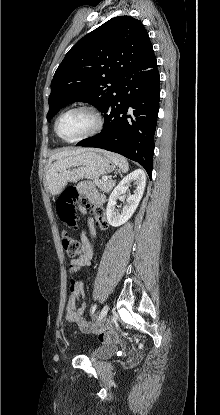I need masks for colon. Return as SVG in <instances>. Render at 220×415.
I'll return each mask as SVG.
<instances>
[{
	"mask_svg": "<svg viewBox=\"0 0 220 415\" xmlns=\"http://www.w3.org/2000/svg\"><path fill=\"white\" fill-rule=\"evenodd\" d=\"M78 197L79 193L77 189L69 187L62 192L56 204V210L61 222L70 229H75L77 226L74 202L78 199ZM93 210L95 216L97 217L102 218L105 215V210L102 206H94ZM62 245L67 257L71 261L79 259L81 255L80 244L65 231L62 235ZM76 287L77 282L72 278L70 281L69 294L73 293L76 290ZM113 337V334L109 332H104L99 335V339L101 340L112 339Z\"/></svg>",
	"mask_w": 220,
	"mask_h": 415,
	"instance_id": "colon-1",
	"label": "colon"
}]
</instances>
